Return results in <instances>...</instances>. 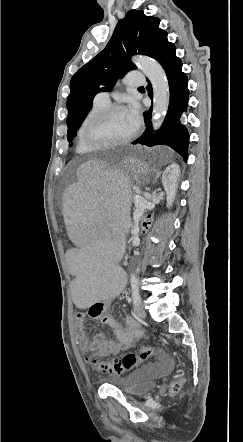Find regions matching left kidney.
<instances>
[{
    "instance_id": "obj_1",
    "label": "left kidney",
    "mask_w": 243,
    "mask_h": 442,
    "mask_svg": "<svg viewBox=\"0 0 243 442\" xmlns=\"http://www.w3.org/2000/svg\"><path fill=\"white\" fill-rule=\"evenodd\" d=\"M180 169L176 163L171 164L166 168L162 175V184L167 193V207L172 205L175 199L177 178L179 177Z\"/></svg>"
}]
</instances>
